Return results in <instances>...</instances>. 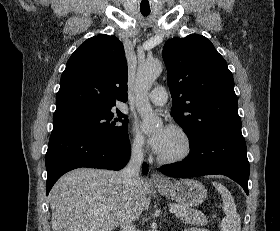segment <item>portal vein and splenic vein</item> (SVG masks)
Returning a JSON list of instances; mask_svg holds the SVG:
<instances>
[{"mask_svg": "<svg viewBox=\"0 0 280 231\" xmlns=\"http://www.w3.org/2000/svg\"><path fill=\"white\" fill-rule=\"evenodd\" d=\"M178 207H173V205H171V213H176ZM102 211H106V209H101V211H97L96 215H98V213H102Z\"/></svg>", "mask_w": 280, "mask_h": 231, "instance_id": "18ae733b", "label": "portal vein and splenic vein"}]
</instances>
